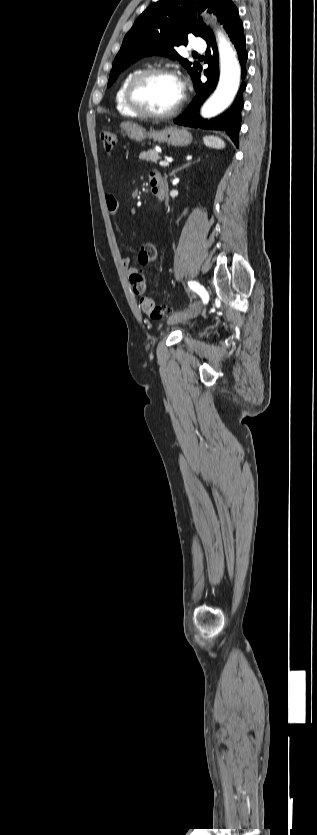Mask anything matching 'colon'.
<instances>
[{
    "label": "colon",
    "instance_id": "5ec220e1",
    "mask_svg": "<svg viewBox=\"0 0 317 835\" xmlns=\"http://www.w3.org/2000/svg\"><path fill=\"white\" fill-rule=\"evenodd\" d=\"M100 138L104 150L110 153L114 149L117 142L116 134L110 130H103L100 133ZM156 256L157 250L154 246H152L149 251V259L154 260ZM129 279L134 293L140 297L139 306L141 310L152 319L163 318L166 313V308L162 305H157L151 297L145 295V291L147 289V278L145 273L142 270L136 271L130 275Z\"/></svg>",
    "mask_w": 317,
    "mask_h": 835
}]
</instances>
